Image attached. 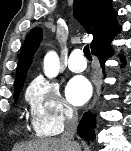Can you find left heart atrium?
Returning a JSON list of instances; mask_svg holds the SVG:
<instances>
[{
  "label": "left heart atrium",
  "instance_id": "left-heart-atrium-1",
  "mask_svg": "<svg viewBox=\"0 0 131 151\" xmlns=\"http://www.w3.org/2000/svg\"><path fill=\"white\" fill-rule=\"evenodd\" d=\"M92 87L82 76L72 78L66 87V96L70 103L76 106L84 104L91 96Z\"/></svg>",
  "mask_w": 131,
  "mask_h": 151
}]
</instances>
